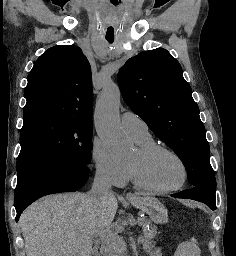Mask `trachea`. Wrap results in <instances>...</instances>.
Listing matches in <instances>:
<instances>
[{"label":"trachea","mask_w":236,"mask_h":256,"mask_svg":"<svg viewBox=\"0 0 236 256\" xmlns=\"http://www.w3.org/2000/svg\"><path fill=\"white\" fill-rule=\"evenodd\" d=\"M109 43H113V39H108L107 40Z\"/></svg>","instance_id":"trachea-1"}]
</instances>
